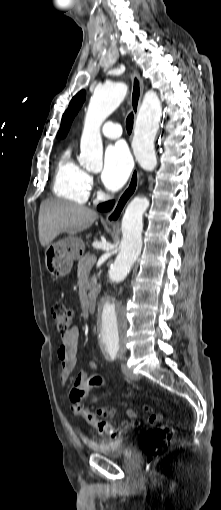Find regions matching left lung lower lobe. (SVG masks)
Here are the masks:
<instances>
[{"instance_id":"1","label":"left lung lower lobe","mask_w":221,"mask_h":510,"mask_svg":"<svg viewBox=\"0 0 221 510\" xmlns=\"http://www.w3.org/2000/svg\"><path fill=\"white\" fill-rule=\"evenodd\" d=\"M113 204H114V202L110 201V202H106L104 204H100L97 208L100 211H108L112 208Z\"/></svg>"}]
</instances>
